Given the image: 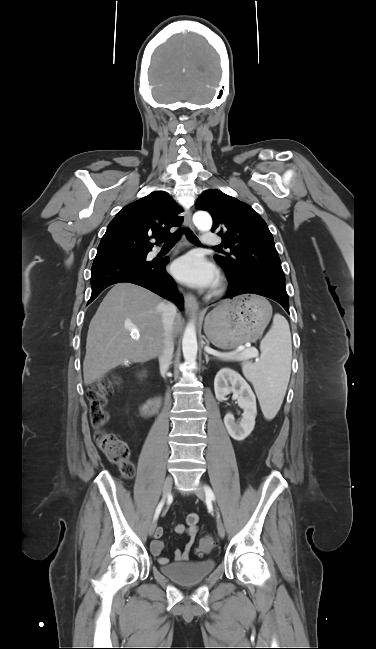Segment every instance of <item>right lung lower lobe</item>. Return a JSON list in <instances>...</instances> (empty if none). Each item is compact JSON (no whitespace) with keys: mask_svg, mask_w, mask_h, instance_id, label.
Wrapping results in <instances>:
<instances>
[{"mask_svg":"<svg viewBox=\"0 0 376 649\" xmlns=\"http://www.w3.org/2000/svg\"><path fill=\"white\" fill-rule=\"evenodd\" d=\"M168 261L169 257L152 261L146 258H109L94 262L91 268L92 294L88 304L106 287L129 282L147 288L182 308L183 298L178 294L173 278L165 270Z\"/></svg>","mask_w":376,"mask_h":649,"instance_id":"98d812e1","label":"right lung lower lobe"}]
</instances>
